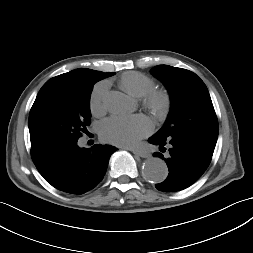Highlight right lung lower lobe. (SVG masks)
Instances as JSON below:
<instances>
[{
	"mask_svg": "<svg viewBox=\"0 0 253 253\" xmlns=\"http://www.w3.org/2000/svg\"><path fill=\"white\" fill-rule=\"evenodd\" d=\"M116 150L113 146L100 144L92 149L79 148L76 142L50 155L36 167L56 189L83 194L102 181L109 157Z\"/></svg>",
	"mask_w": 253,
	"mask_h": 253,
	"instance_id": "obj_1",
	"label": "right lung lower lobe"
}]
</instances>
